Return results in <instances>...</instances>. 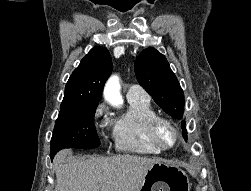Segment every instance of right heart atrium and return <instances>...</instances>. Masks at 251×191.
Returning a JSON list of instances; mask_svg holds the SVG:
<instances>
[{"label": "right heart atrium", "instance_id": "obj_1", "mask_svg": "<svg viewBox=\"0 0 251 191\" xmlns=\"http://www.w3.org/2000/svg\"><path fill=\"white\" fill-rule=\"evenodd\" d=\"M107 116V107L103 103H99L93 111L92 122L95 128H99Z\"/></svg>", "mask_w": 251, "mask_h": 191}]
</instances>
